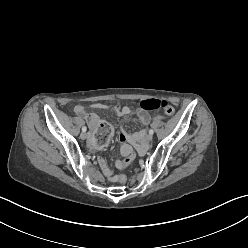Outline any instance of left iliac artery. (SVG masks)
Segmentation results:
<instances>
[{
    "instance_id": "1",
    "label": "left iliac artery",
    "mask_w": 248,
    "mask_h": 248,
    "mask_svg": "<svg viewBox=\"0 0 248 248\" xmlns=\"http://www.w3.org/2000/svg\"><path fill=\"white\" fill-rule=\"evenodd\" d=\"M149 134H153V130L152 129L149 130Z\"/></svg>"
}]
</instances>
